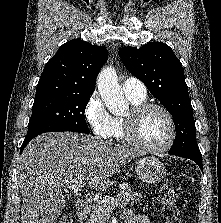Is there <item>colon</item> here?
<instances>
[{
  "mask_svg": "<svg viewBox=\"0 0 221 223\" xmlns=\"http://www.w3.org/2000/svg\"><path fill=\"white\" fill-rule=\"evenodd\" d=\"M158 195L165 223H182L179 209L175 204L176 192L173 185L169 181L163 182ZM58 223H71V219L68 216H62Z\"/></svg>",
  "mask_w": 221,
  "mask_h": 223,
  "instance_id": "obj_1",
  "label": "colon"
}]
</instances>
